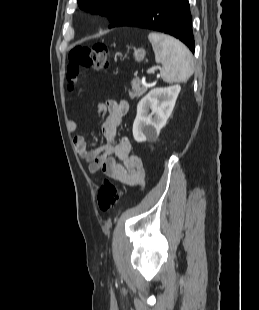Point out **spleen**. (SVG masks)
<instances>
[{
  "label": "spleen",
  "mask_w": 259,
  "mask_h": 310,
  "mask_svg": "<svg viewBox=\"0 0 259 310\" xmlns=\"http://www.w3.org/2000/svg\"><path fill=\"white\" fill-rule=\"evenodd\" d=\"M148 39L152 44L155 61L162 64L163 81L186 82L194 72L192 54L179 40L162 33L151 32Z\"/></svg>",
  "instance_id": "3e777b00"
}]
</instances>
